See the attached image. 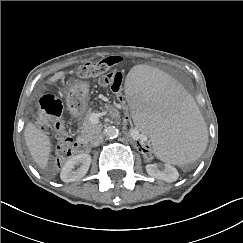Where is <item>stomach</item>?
I'll list each match as a JSON object with an SVG mask.
<instances>
[{"mask_svg":"<svg viewBox=\"0 0 243 243\" xmlns=\"http://www.w3.org/2000/svg\"><path fill=\"white\" fill-rule=\"evenodd\" d=\"M89 84L87 82H77L66 92V105L70 113L80 116L85 112Z\"/></svg>","mask_w":243,"mask_h":243,"instance_id":"obj_1","label":"stomach"}]
</instances>
